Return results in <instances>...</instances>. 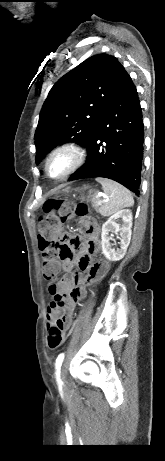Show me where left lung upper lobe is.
I'll list each match as a JSON object with an SVG mask.
<instances>
[{
	"mask_svg": "<svg viewBox=\"0 0 165 461\" xmlns=\"http://www.w3.org/2000/svg\"><path fill=\"white\" fill-rule=\"evenodd\" d=\"M127 76L114 56L90 57L61 77L42 107L35 132L36 164L55 146H86L108 104Z\"/></svg>",
	"mask_w": 165,
	"mask_h": 461,
	"instance_id": "5c2ea615",
	"label": "left lung upper lobe"
}]
</instances>
